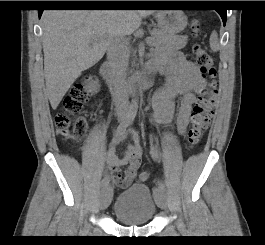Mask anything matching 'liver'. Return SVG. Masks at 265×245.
Returning a JSON list of instances; mask_svg holds the SVG:
<instances>
[{"label":"liver","mask_w":265,"mask_h":245,"mask_svg":"<svg viewBox=\"0 0 265 245\" xmlns=\"http://www.w3.org/2000/svg\"><path fill=\"white\" fill-rule=\"evenodd\" d=\"M153 10H46L42 15L44 73L52 109L114 37L136 31Z\"/></svg>","instance_id":"liver-1"}]
</instances>
